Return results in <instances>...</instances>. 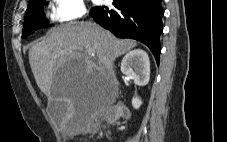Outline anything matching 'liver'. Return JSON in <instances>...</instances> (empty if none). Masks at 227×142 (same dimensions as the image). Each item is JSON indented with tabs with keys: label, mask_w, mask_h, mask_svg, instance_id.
Returning a JSON list of instances; mask_svg holds the SVG:
<instances>
[{
	"label": "liver",
	"mask_w": 227,
	"mask_h": 142,
	"mask_svg": "<svg viewBox=\"0 0 227 142\" xmlns=\"http://www.w3.org/2000/svg\"><path fill=\"white\" fill-rule=\"evenodd\" d=\"M136 46L134 40L118 39L96 24L80 22L52 28L44 40L30 48L29 63L40 90L49 103L68 105L65 134L80 116L92 83L106 80L116 88L114 61ZM66 61H87V66H66ZM57 73H83V78H57Z\"/></svg>",
	"instance_id": "obj_1"
}]
</instances>
